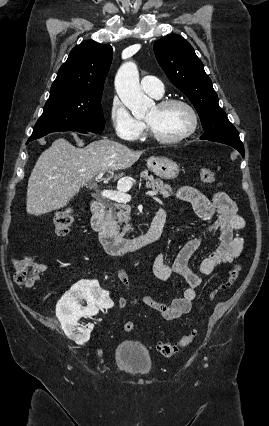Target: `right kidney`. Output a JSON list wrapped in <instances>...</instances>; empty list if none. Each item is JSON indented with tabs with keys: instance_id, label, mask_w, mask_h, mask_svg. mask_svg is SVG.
Segmentation results:
<instances>
[{
	"instance_id": "right-kidney-1",
	"label": "right kidney",
	"mask_w": 269,
	"mask_h": 426,
	"mask_svg": "<svg viewBox=\"0 0 269 426\" xmlns=\"http://www.w3.org/2000/svg\"><path fill=\"white\" fill-rule=\"evenodd\" d=\"M105 288L99 286L97 281H80L59 300L56 306V314L65 334L78 344L87 342L93 325L88 328L77 327L81 317L92 316L100 311H111L113 302ZM87 301V307L81 302ZM98 307V308H97Z\"/></svg>"
}]
</instances>
